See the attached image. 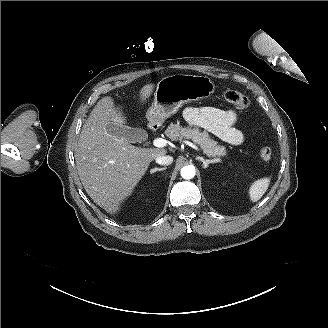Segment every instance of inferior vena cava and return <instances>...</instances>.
<instances>
[{"instance_id": "1", "label": "inferior vena cava", "mask_w": 328, "mask_h": 328, "mask_svg": "<svg viewBox=\"0 0 328 328\" xmlns=\"http://www.w3.org/2000/svg\"><path fill=\"white\" fill-rule=\"evenodd\" d=\"M156 163L160 164V165H170L173 162V157L169 156V155H161V156H157L155 158Z\"/></svg>"}]
</instances>
